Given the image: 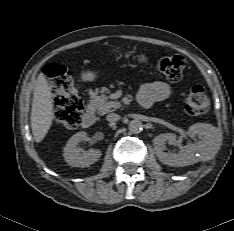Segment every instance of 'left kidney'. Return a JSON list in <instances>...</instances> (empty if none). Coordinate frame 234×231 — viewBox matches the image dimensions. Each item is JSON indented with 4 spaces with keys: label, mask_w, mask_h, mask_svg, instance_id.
<instances>
[{
    "label": "left kidney",
    "mask_w": 234,
    "mask_h": 231,
    "mask_svg": "<svg viewBox=\"0 0 234 231\" xmlns=\"http://www.w3.org/2000/svg\"><path fill=\"white\" fill-rule=\"evenodd\" d=\"M188 133L201 140L184 148L179 153L165 152L166 142L174 145L177 137L172 133H164L153 140L156 155L160 162L172 167H183L197 163L202 158L215 155L222 144V133L210 124L197 123L188 128Z\"/></svg>",
    "instance_id": "1"
}]
</instances>
